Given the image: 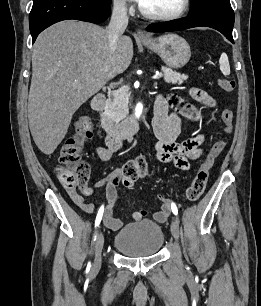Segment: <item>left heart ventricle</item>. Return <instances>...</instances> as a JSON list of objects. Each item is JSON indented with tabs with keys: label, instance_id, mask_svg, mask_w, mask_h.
Listing matches in <instances>:
<instances>
[{
	"label": "left heart ventricle",
	"instance_id": "1",
	"mask_svg": "<svg viewBox=\"0 0 261 306\" xmlns=\"http://www.w3.org/2000/svg\"><path fill=\"white\" fill-rule=\"evenodd\" d=\"M183 0H143L141 5L150 12L169 14L177 11Z\"/></svg>",
	"mask_w": 261,
	"mask_h": 306
}]
</instances>
